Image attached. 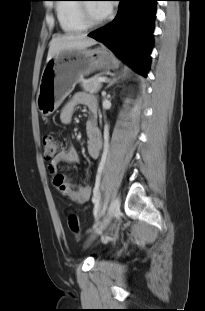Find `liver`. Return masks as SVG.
<instances>
[{
    "mask_svg": "<svg viewBox=\"0 0 205 311\" xmlns=\"http://www.w3.org/2000/svg\"><path fill=\"white\" fill-rule=\"evenodd\" d=\"M97 44V41L86 34H66L52 38L49 44L47 61L62 51L86 49Z\"/></svg>",
    "mask_w": 205,
    "mask_h": 311,
    "instance_id": "liver-1",
    "label": "liver"
}]
</instances>
